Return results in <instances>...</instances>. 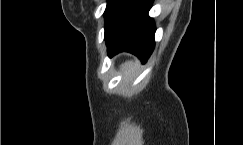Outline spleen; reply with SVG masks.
Instances as JSON below:
<instances>
[{
	"mask_svg": "<svg viewBox=\"0 0 243 145\" xmlns=\"http://www.w3.org/2000/svg\"><path fill=\"white\" fill-rule=\"evenodd\" d=\"M137 64L138 62L127 61L121 65V72H123L125 76H128L134 71V67Z\"/></svg>",
	"mask_w": 243,
	"mask_h": 145,
	"instance_id": "1",
	"label": "spleen"
}]
</instances>
